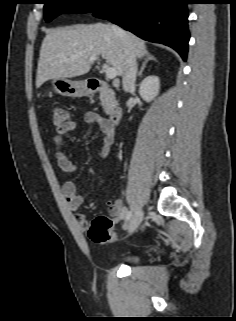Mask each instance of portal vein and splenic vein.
<instances>
[{
  "label": "portal vein and splenic vein",
  "instance_id": "18ae733b",
  "mask_svg": "<svg viewBox=\"0 0 236 321\" xmlns=\"http://www.w3.org/2000/svg\"><path fill=\"white\" fill-rule=\"evenodd\" d=\"M97 59H98V57H90L89 60L95 61ZM105 73H106V77L109 79H114L117 76V71L113 67H105Z\"/></svg>",
  "mask_w": 236,
  "mask_h": 321
}]
</instances>
